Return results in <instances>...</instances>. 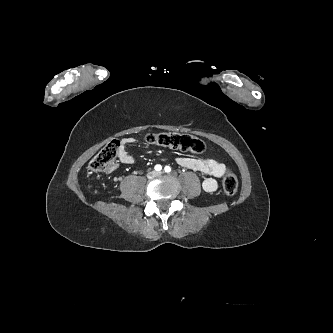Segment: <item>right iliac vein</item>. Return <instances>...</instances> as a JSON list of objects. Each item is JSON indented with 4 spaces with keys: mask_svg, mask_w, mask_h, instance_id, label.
I'll return each instance as SVG.
<instances>
[{
    "mask_svg": "<svg viewBox=\"0 0 333 333\" xmlns=\"http://www.w3.org/2000/svg\"><path fill=\"white\" fill-rule=\"evenodd\" d=\"M156 176V173L155 172H150L149 174H148V177L149 178H154Z\"/></svg>",
    "mask_w": 333,
    "mask_h": 333,
    "instance_id": "obj_1",
    "label": "right iliac vein"
}]
</instances>
